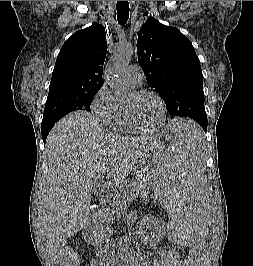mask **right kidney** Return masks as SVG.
Masks as SVG:
<instances>
[{
  "mask_svg": "<svg viewBox=\"0 0 253 266\" xmlns=\"http://www.w3.org/2000/svg\"><path fill=\"white\" fill-rule=\"evenodd\" d=\"M100 238H102L101 236H98V237H94V242H93V244H99V242L97 241V240H99Z\"/></svg>",
  "mask_w": 253,
  "mask_h": 266,
  "instance_id": "obj_1",
  "label": "right kidney"
}]
</instances>
